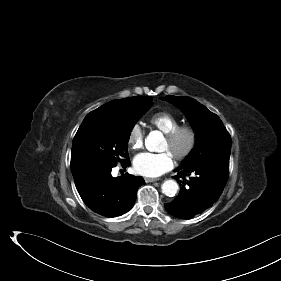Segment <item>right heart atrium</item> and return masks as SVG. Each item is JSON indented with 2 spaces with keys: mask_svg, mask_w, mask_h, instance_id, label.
<instances>
[{
  "mask_svg": "<svg viewBox=\"0 0 281 281\" xmlns=\"http://www.w3.org/2000/svg\"><path fill=\"white\" fill-rule=\"evenodd\" d=\"M144 139V131L140 124L135 123L130 128V131L128 133L127 137V144L128 146L133 149H139L143 144Z\"/></svg>",
  "mask_w": 281,
  "mask_h": 281,
  "instance_id": "d8ad5b80",
  "label": "right heart atrium"
}]
</instances>
